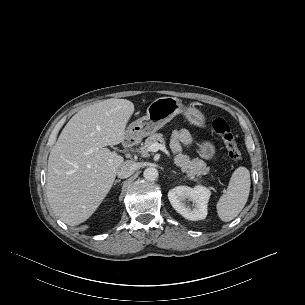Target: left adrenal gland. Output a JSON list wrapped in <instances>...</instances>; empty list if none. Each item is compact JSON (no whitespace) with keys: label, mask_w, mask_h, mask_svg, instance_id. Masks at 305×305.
<instances>
[{"label":"left adrenal gland","mask_w":305,"mask_h":305,"mask_svg":"<svg viewBox=\"0 0 305 305\" xmlns=\"http://www.w3.org/2000/svg\"><path fill=\"white\" fill-rule=\"evenodd\" d=\"M171 173L176 174V172H175V171H171Z\"/></svg>","instance_id":"left-adrenal-gland-1"}]
</instances>
